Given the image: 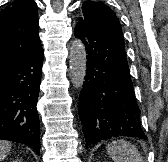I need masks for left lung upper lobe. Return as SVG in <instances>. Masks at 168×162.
Returning <instances> with one entry per match:
<instances>
[{
    "label": "left lung upper lobe",
    "mask_w": 168,
    "mask_h": 162,
    "mask_svg": "<svg viewBox=\"0 0 168 162\" xmlns=\"http://www.w3.org/2000/svg\"><path fill=\"white\" fill-rule=\"evenodd\" d=\"M79 20H87L124 43L121 25L112 9L102 2L85 1Z\"/></svg>",
    "instance_id": "1"
}]
</instances>
